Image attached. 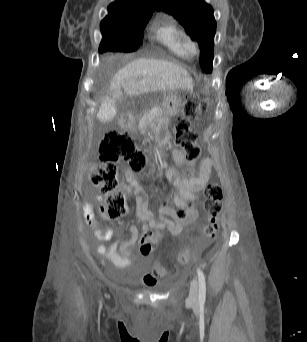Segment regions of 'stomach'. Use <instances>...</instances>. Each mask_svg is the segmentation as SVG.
<instances>
[{
  "label": "stomach",
  "instance_id": "1",
  "mask_svg": "<svg viewBox=\"0 0 307 342\" xmlns=\"http://www.w3.org/2000/svg\"><path fill=\"white\" fill-rule=\"evenodd\" d=\"M185 93V92H184ZM184 104V94L177 93L168 96L163 102V113L167 117L175 116Z\"/></svg>",
  "mask_w": 307,
  "mask_h": 342
}]
</instances>
